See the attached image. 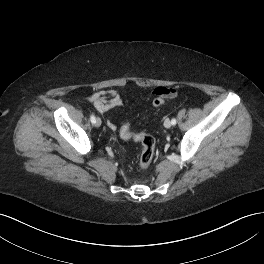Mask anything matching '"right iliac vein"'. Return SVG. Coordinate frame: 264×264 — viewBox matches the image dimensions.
<instances>
[{
  "instance_id": "obj_1",
  "label": "right iliac vein",
  "mask_w": 264,
  "mask_h": 264,
  "mask_svg": "<svg viewBox=\"0 0 264 264\" xmlns=\"http://www.w3.org/2000/svg\"><path fill=\"white\" fill-rule=\"evenodd\" d=\"M101 119L99 117L96 118L95 126L100 127L101 126Z\"/></svg>"
}]
</instances>
